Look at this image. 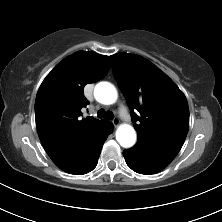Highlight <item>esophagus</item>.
Here are the masks:
<instances>
[{
  "instance_id": "34e87169",
  "label": "esophagus",
  "mask_w": 222,
  "mask_h": 222,
  "mask_svg": "<svg viewBox=\"0 0 222 222\" xmlns=\"http://www.w3.org/2000/svg\"><path fill=\"white\" fill-rule=\"evenodd\" d=\"M112 123H113V125H114L115 127H117V126L119 125L120 121H119V119H118L117 117H115V118L113 119Z\"/></svg>"
}]
</instances>
